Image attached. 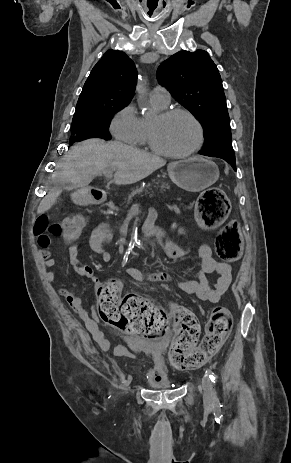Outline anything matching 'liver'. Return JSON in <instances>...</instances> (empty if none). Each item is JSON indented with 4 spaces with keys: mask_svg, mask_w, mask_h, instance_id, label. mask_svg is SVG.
<instances>
[{
    "mask_svg": "<svg viewBox=\"0 0 291 463\" xmlns=\"http://www.w3.org/2000/svg\"><path fill=\"white\" fill-rule=\"evenodd\" d=\"M165 164L166 161L159 156L120 142L89 139L68 151L52 177L61 184L71 183L83 188L96 175L113 170L114 183L127 185L144 179ZM60 194V188L49 192L39 204L38 214L49 210Z\"/></svg>",
    "mask_w": 291,
    "mask_h": 463,
    "instance_id": "1",
    "label": "liver"
}]
</instances>
